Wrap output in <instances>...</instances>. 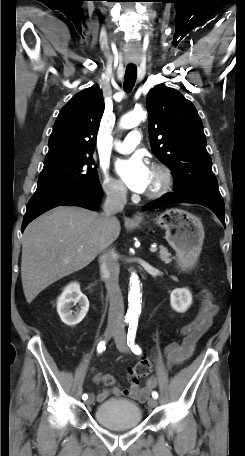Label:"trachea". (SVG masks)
<instances>
[{"instance_id": "obj_1", "label": "trachea", "mask_w": 245, "mask_h": 456, "mask_svg": "<svg viewBox=\"0 0 245 456\" xmlns=\"http://www.w3.org/2000/svg\"><path fill=\"white\" fill-rule=\"evenodd\" d=\"M137 70L135 66H128L125 71L124 89L129 92L135 85Z\"/></svg>"}]
</instances>
